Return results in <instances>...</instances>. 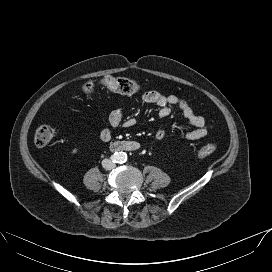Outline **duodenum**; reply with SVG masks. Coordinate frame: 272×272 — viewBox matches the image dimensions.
<instances>
[{
    "label": "duodenum",
    "instance_id": "1",
    "mask_svg": "<svg viewBox=\"0 0 272 272\" xmlns=\"http://www.w3.org/2000/svg\"><path fill=\"white\" fill-rule=\"evenodd\" d=\"M112 151L136 152L140 146L135 141H115L110 146Z\"/></svg>",
    "mask_w": 272,
    "mask_h": 272
}]
</instances>
